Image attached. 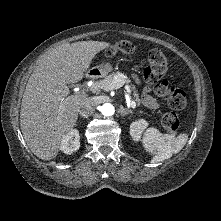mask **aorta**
I'll return each instance as SVG.
<instances>
[{"mask_svg": "<svg viewBox=\"0 0 221 221\" xmlns=\"http://www.w3.org/2000/svg\"><path fill=\"white\" fill-rule=\"evenodd\" d=\"M114 106L110 103H105L101 106V113L104 115V116H111L114 114Z\"/></svg>", "mask_w": 221, "mask_h": 221, "instance_id": "aorta-1", "label": "aorta"}]
</instances>
